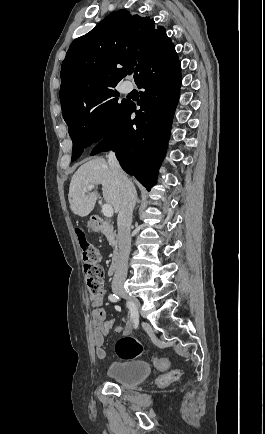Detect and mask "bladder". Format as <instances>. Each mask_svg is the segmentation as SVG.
Masks as SVG:
<instances>
[{
    "label": "bladder",
    "instance_id": "bladder-1",
    "mask_svg": "<svg viewBox=\"0 0 265 434\" xmlns=\"http://www.w3.org/2000/svg\"><path fill=\"white\" fill-rule=\"evenodd\" d=\"M147 362L137 359L114 362L108 368V376L126 388H133L150 374Z\"/></svg>",
    "mask_w": 265,
    "mask_h": 434
}]
</instances>
